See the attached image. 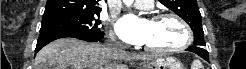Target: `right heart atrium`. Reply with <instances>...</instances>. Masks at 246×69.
Returning a JSON list of instances; mask_svg holds the SVG:
<instances>
[{
	"mask_svg": "<svg viewBox=\"0 0 246 69\" xmlns=\"http://www.w3.org/2000/svg\"><path fill=\"white\" fill-rule=\"evenodd\" d=\"M111 38H115V34L113 32L110 33Z\"/></svg>",
	"mask_w": 246,
	"mask_h": 69,
	"instance_id": "d8ad5b80",
	"label": "right heart atrium"
}]
</instances>
